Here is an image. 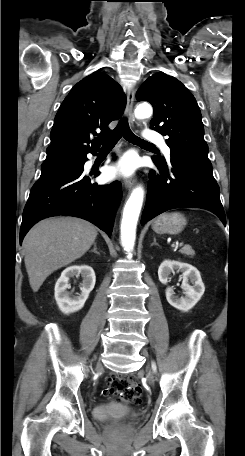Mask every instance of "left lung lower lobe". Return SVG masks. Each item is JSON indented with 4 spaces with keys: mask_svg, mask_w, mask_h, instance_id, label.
I'll list each match as a JSON object with an SVG mask.
<instances>
[{
    "mask_svg": "<svg viewBox=\"0 0 245 456\" xmlns=\"http://www.w3.org/2000/svg\"><path fill=\"white\" fill-rule=\"evenodd\" d=\"M159 172L151 171L148 194L141 223L174 208H202L226 224L219 186L212 165L171 155L167 163L152 157Z\"/></svg>",
    "mask_w": 245,
    "mask_h": 456,
    "instance_id": "obj_1",
    "label": "left lung lower lobe"
}]
</instances>
